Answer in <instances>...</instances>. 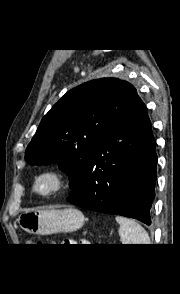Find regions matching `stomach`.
Instances as JSON below:
<instances>
[{
  "mask_svg": "<svg viewBox=\"0 0 180 294\" xmlns=\"http://www.w3.org/2000/svg\"><path fill=\"white\" fill-rule=\"evenodd\" d=\"M84 215L74 208L28 211L19 215L21 229L34 235L73 232L84 224Z\"/></svg>",
  "mask_w": 180,
  "mask_h": 294,
  "instance_id": "obj_1",
  "label": "stomach"
}]
</instances>
